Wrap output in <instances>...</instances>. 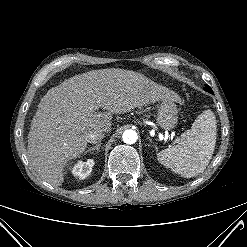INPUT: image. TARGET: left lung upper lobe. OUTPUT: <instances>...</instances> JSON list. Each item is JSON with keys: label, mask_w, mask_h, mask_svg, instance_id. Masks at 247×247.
Returning a JSON list of instances; mask_svg holds the SVG:
<instances>
[{"label": "left lung upper lobe", "mask_w": 247, "mask_h": 247, "mask_svg": "<svg viewBox=\"0 0 247 247\" xmlns=\"http://www.w3.org/2000/svg\"><path fill=\"white\" fill-rule=\"evenodd\" d=\"M204 90H206L207 92L213 93L212 89L208 85L204 87Z\"/></svg>", "instance_id": "obj_1"}]
</instances>
